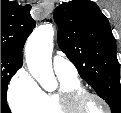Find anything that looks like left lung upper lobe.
Here are the masks:
<instances>
[{"instance_id": "5c2ea615", "label": "left lung upper lobe", "mask_w": 121, "mask_h": 113, "mask_svg": "<svg viewBox=\"0 0 121 113\" xmlns=\"http://www.w3.org/2000/svg\"><path fill=\"white\" fill-rule=\"evenodd\" d=\"M60 49L81 77L111 107L121 113V85L116 40L107 18L90 0H72L54 11Z\"/></svg>"}]
</instances>
